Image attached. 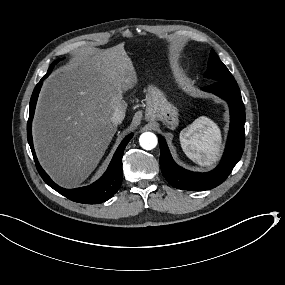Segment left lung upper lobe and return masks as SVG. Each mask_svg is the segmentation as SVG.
Instances as JSON below:
<instances>
[{"instance_id": "obj_1", "label": "left lung upper lobe", "mask_w": 285, "mask_h": 285, "mask_svg": "<svg viewBox=\"0 0 285 285\" xmlns=\"http://www.w3.org/2000/svg\"><path fill=\"white\" fill-rule=\"evenodd\" d=\"M205 77L215 81L235 82L234 77L229 72L227 67L221 62L217 54L211 50L208 61V68L205 72Z\"/></svg>"}]
</instances>
